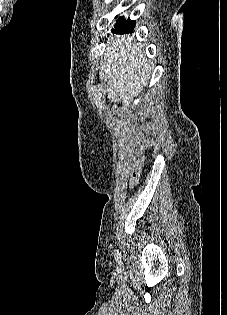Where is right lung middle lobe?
Returning <instances> with one entry per match:
<instances>
[{"instance_id":"right-lung-middle-lobe-1","label":"right lung middle lobe","mask_w":227,"mask_h":315,"mask_svg":"<svg viewBox=\"0 0 227 315\" xmlns=\"http://www.w3.org/2000/svg\"><path fill=\"white\" fill-rule=\"evenodd\" d=\"M136 21H131L130 19L125 20L124 17H120L115 24V29L112 30L113 33L124 34L132 32L135 27ZM120 32V33H118Z\"/></svg>"}]
</instances>
